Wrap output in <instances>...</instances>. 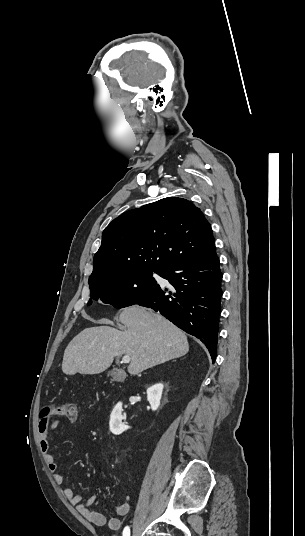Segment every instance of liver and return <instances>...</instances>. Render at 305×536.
Instances as JSON below:
<instances>
[{
  "label": "liver",
  "mask_w": 305,
  "mask_h": 536,
  "mask_svg": "<svg viewBox=\"0 0 305 536\" xmlns=\"http://www.w3.org/2000/svg\"><path fill=\"white\" fill-rule=\"evenodd\" d=\"M119 322L126 326V332L110 326H98L86 328L75 336L64 352L62 372L67 376L101 374L110 368L115 356L125 354L131 358L128 372L136 376L189 352L184 332L160 314L147 312V308H125L119 316ZM95 324L112 322L103 318Z\"/></svg>",
  "instance_id": "liver-1"
}]
</instances>
